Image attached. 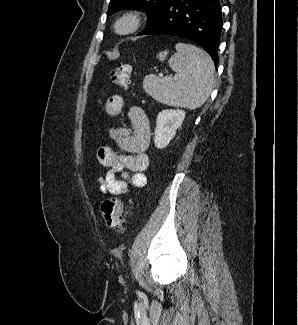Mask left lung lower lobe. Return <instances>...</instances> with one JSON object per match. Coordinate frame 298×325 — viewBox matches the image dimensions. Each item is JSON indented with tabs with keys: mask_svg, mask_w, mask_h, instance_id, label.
<instances>
[{
	"mask_svg": "<svg viewBox=\"0 0 298 325\" xmlns=\"http://www.w3.org/2000/svg\"><path fill=\"white\" fill-rule=\"evenodd\" d=\"M222 30L219 0H169L138 35L165 34L199 44L218 63Z\"/></svg>",
	"mask_w": 298,
	"mask_h": 325,
	"instance_id": "0a47b994",
	"label": "left lung lower lobe"
}]
</instances>
